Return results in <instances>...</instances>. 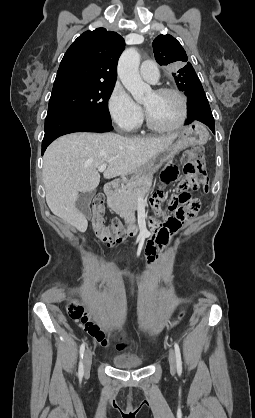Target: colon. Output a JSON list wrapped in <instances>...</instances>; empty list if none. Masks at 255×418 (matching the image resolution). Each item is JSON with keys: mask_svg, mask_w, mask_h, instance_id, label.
Segmentation results:
<instances>
[{"mask_svg": "<svg viewBox=\"0 0 255 418\" xmlns=\"http://www.w3.org/2000/svg\"><path fill=\"white\" fill-rule=\"evenodd\" d=\"M183 171L185 179L179 185L176 196L170 199V207L175 211L174 216L167 217L162 223H155V235L162 234L163 227H172L173 231L179 227L180 221H191L199 208V202L192 198L189 189H203L208 191V175L204 163V151L201 147L186 153L183 157ZM161 178L163 176L161 175ZM161 192H157L152 198V205L157 207L162 199ZM101 196L95 197L91 207V225L97 239L106 247H112L123 239V229L120 223L115 222L110 226L104 224V204ZM169 238V236H168ZM162 249V248H161ZM69 315L73 319H80L86 330L93 329L96 324L94 320L84 313V309L79 300H72L67 307ZM182 312L170 326L177 325L184 317Z\"/></svg>", "mask_w": 255, "mask_h": 418, "instance_id": "5ec220e1", "label": "colon"}]
</instances>
